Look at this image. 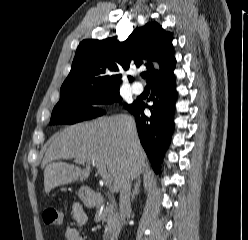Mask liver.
Returning a JSON list of instances; mask_svg holds the SVG:
<instances>
[{"label": "liver", "mask_w": 248, "mask_h": 240, "mask_svg": "<svg viewBox=\"0 0 248 240\" xmlns=\"http://www.w3.org/2000/svg\"><path fill=\"white\" fill-rule=\"evenodd\" d=\"M75 159L86 164L81 169L61 159ZM105 166L113 178V190L118 192L123 181L139 178L146 166V155L140 145L135 122L128 115L99 118L69 126L57 133L44 159V190L84 181L90 176L91 164Z\"/></svg>", "instance_id": "obj_1"}]
</instances>
